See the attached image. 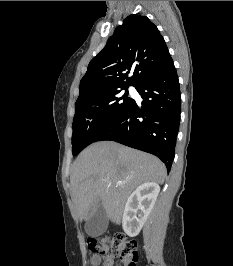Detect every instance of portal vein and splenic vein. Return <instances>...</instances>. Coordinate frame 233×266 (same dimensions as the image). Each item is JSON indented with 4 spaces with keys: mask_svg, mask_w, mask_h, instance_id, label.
<instances>
[{
    "mask_svg": "<svg viewBox=\"0 0 233 266\" xmlns=\"http://www.w3.org/2000/svg\"><path fill=\"white\" fill-rule=\"evenodd\" d=\"M104 182H109V179H104ZM116 184L118 186H120V185H124L125 183H123V182H117Z\"/></svg>",
    "mask_w": 233,
    "mask_h": 266,
    "instance_id": "portal-vein-and-splenic-vein-1",
    "label": "portal vein and splenic vein"
}]
</instances>
